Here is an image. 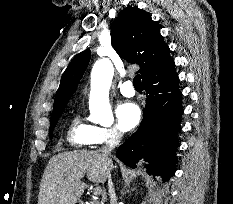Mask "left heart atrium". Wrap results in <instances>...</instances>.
Listing matches in <instances>:
<instances>
[{
	"label": "left heart atrium",
	"instance_id": "left-heart-atrium-1",
	"mask_svg": "<svg viewBox=\"0 0 233 204\" xmlns=\"http://www.w3.org/2000/svg\"><path fill=\"white\" fill-rule=\"evenodd\" d=\"M141 110L133 102H124L116 108L118 126L122 131H130L135 128L141 120Z\"/></svg>",
	"mask_w": 233,
	"mask_h": 204
}]
</instances>
